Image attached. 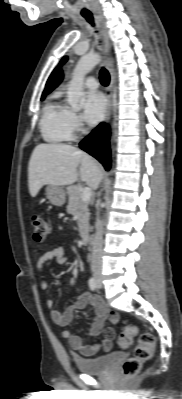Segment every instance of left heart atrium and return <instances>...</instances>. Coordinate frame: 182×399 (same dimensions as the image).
Returning <instances> with one entry per match:
<instances>
[{
  "label": "left heart atrium",
  "mask_w": 182,
  "mask_h": 399,
  "mask_svg": "<svg viewBox=\"0 0 182 399\" xmlns=\"http://www.w3.org/2000/svg\"><path fill=\"white\" fill-rule=\"evenodd\" d=\"M106 99L100 92H90L85 98L84 119L88 122H98L104 116Z\"/></svg>",
  "instance_id": "obj_1"
}]
</instances>
